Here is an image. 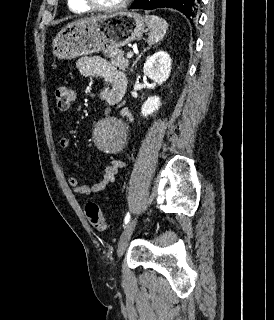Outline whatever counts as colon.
Instances as JSON below:
<instances>
[{
    "label": "colon",
    "instance_id": "1",
    "mask_svg": "<svg viewBox=\"0 0 274 320\" xmlns=\"http://www.w3.org/2000/svg\"><path fill=\"white\" fill-rule=\"evenodd\" d=\"M56 107L59 110H67L74 98V91L66 84L60 83L53 89ZM85 213L90 223L103 231L106 228L105 218L100 204L90 201L85 205Z\"/></svg>",
    "mask_w": 274,
    "mask_h": 320
}]
</instances>
